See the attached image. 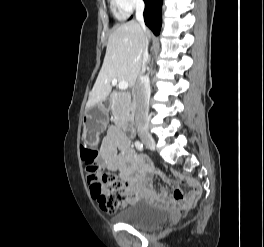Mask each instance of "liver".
I'll return each mask as SVG.
<instances>
[{
	"instance_id": "1",
	"label": "liver",
	"mask_w": 264,
	"mask_h": 247,
	"mask_svg": "<svg viewBox=\"0 0 264 247\" xmlns=\"http://www.w3.org/2000/svg\"><path fill=\"white\" fill-rule=\"evenodd\" d=\"M150 32H144L135 21L118 27L109 36L106 54L97 80L90 92L86 107L103 102L111 92V81H127L132 87L141 71V46Z\"/></svg>"
}]
</instances>
